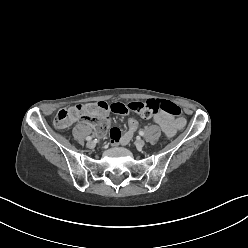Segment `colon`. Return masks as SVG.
Instances as JSON below:
<instances>
[{
	"mask_svg": "<svg viewBox=\"0 0 248 248\" xmlns=\"http://www.w3.org/2000/svg\"><path fill=\"white\" fill-rule=\"evenodd\" d=\"M108 109H111L113 114L120 116H129L130 111H133L146 119L159 113H167L175 117L182 115L180 107L167 100L132 101L128 104L116 103L109 108L106 102L99 101L96 104H81L77 107L60 110L55 116L54 124L58 129H65L73 121L82 119L94 123L96 135L105 137L109 133L106 117ZM126 123L130 126V132H137L140 129V124L133 117H127Z\"/></svg>",
	"mask_w": 248,
	"mask_h": 248,
	"instance_id": "1",
	"label": "colon"
}]
</instances>
